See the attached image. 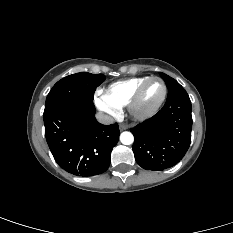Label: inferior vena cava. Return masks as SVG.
Here are the masks:
<instances>
[{
	"instance_id": "1",
	"label": "inferior vena cava",
	"mask_w": 233,
	"mask_h": 233,
	"mask_svg": "<svg viewBox=\"0 0 233 233\" xmlns=\"http://www.w3.org/2000/svg\"><path fill=\"white\" fill-rule=\"evenodd\" d=\"M96 119L102 123V124H105V125H109V124H112L114 122V119L106 114H103V113H97L96 114Z\"/></svg>"
}]
</instances>
